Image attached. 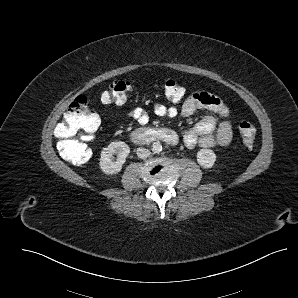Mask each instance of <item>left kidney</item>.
I'll return each mask as SVG.
<instances>
[{"label":"left kidney","mask_w":298,"mask_h":298,"mask_svg":"<svg viewBox=\"0 0 298 298\" xmlns=\"http://www.w3.org/2000/svg\"><path fill=\"white\" fill-rule=\"evenodd\" d=\"M216 161V155L211 149H201L197 153V162L203 168H211Z\"/></svg>","instance_id":"1"}]
</instances>
